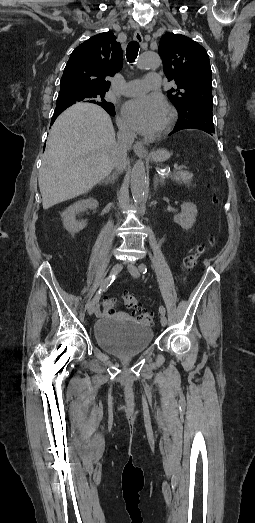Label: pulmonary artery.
<instances>
[{
    "label": "pulmonary artery",
    "mask_w": 255,
    "mask_h": 523,
    "mask_svg": "<svg viewBox=\"0 0 255 523\" xmlns=\"http://www.w3.org/2000/svg\"><path fill=\"white\" fill-rule=\"evenodd\" d=\"M162 77L158 72L152 71L146 75L143 80H133L128 82L122 89V94L132 96L134 100L139 101L143 97V92H154L159 90Z\"/></svg>",
    "instance_id": "pulmonary-artery-1"
}]
</instances>
